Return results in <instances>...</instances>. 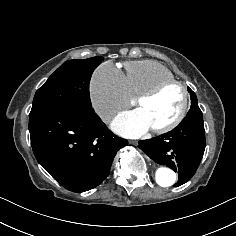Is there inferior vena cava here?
Instances as JSON below:
<instances>
[{
  "mask_svg": "<svg viewBox=\"0 0 236 236\" xmlns=\"http://www.w3.org/2000/svg\"><path fill=\"white\" fill-rule=\"evenodd\" d=\"M97 114L105 121H110L114 114V110L111 107H103L97 110Z\"/></svg>",
  "mask_w": 236,
  "mask_h": 236,
  "instance_id": "inferior-vena-cava-1",
  "label": "inferior vena cava"
}]
</instances>
